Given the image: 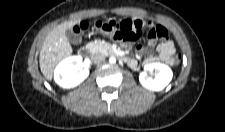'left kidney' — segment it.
<instances>
[{"label":"left kidney","instance_id":"obj_1","mask_svg":"<svg viewBox=\"0 0 225 132\" xmlns=\"http://www.w3.org/2000/svg\"><path fill=\"white\" fill-rule=\"evenodd\" d=\"M171 68L163 63L155 62L146 64L144 71L139 75L143 87L152 91H161L172 80Z\"/></svg>","mask_w":225,"mask_h":132}]
</instances>
